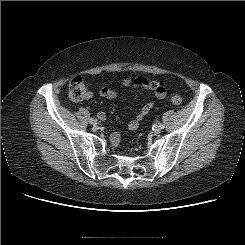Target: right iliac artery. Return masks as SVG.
Here are the masks:
<instances>
[{"label": "right iliac artery", "instance_id": "right-iliac-artery-1", "mask_svg": "<svg viewBox=\"0 0 245 245\" xmlns=\"http://www.w3.org/2000/svg\"><path fill=\"white\" fill-rule=\"evenodd\" d=\"M93 121H96V120H94L93 118H90V119H89V122H90V123H92Z\"/></svg>", "mask_w": 245, "mask_h": 245}]
</instances>
